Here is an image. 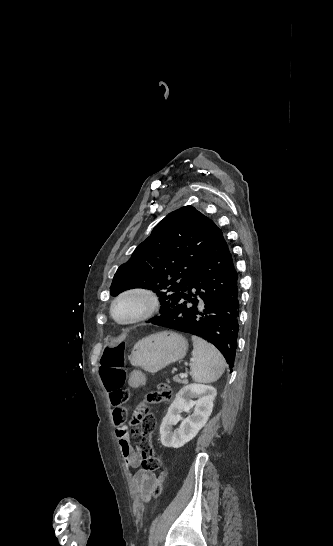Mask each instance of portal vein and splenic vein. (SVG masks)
<instances>
[{
    "mask_svg": "<svg viewBox=\"0 0 333 546\" xmlns=\"http://www.w3.org/2000/svg\"><path fill=\"white\" fill-rule=\"evenodd\" d=\"M182 377L186 376V374H181Z\"/></svg>",
    "mask_w": 333,
    "mask_h": 546,
    "instance_id": "1",
    "label": "portal vein and splenic vein"
}]
</instances>
